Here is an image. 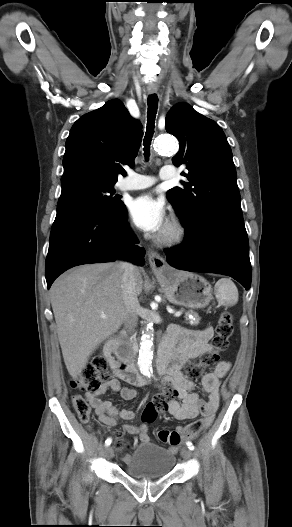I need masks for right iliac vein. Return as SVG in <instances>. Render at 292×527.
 <instances>
[{
	"mask_svg": "<svg viewBox=\"0 0 292 527\" xmlns=\"http://www.w3.org/2000/svg\"><path fill=\"white\" fill-rule=\"evenodd\" d=\"M113 455H114V452H113L112 447H107L105 449V456H106V458L107 459H111L113 457Z\"/></svg>",
	"mask_w": 292,
	"mask_h": 527,
	"instance_id": "obj_1",
	"label": "right iliac vein"
}]
</instances>
